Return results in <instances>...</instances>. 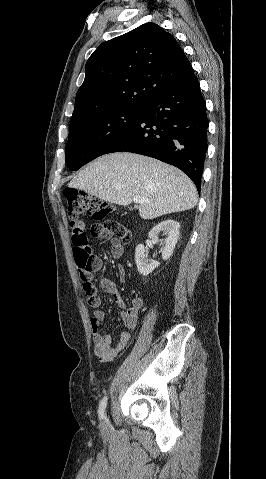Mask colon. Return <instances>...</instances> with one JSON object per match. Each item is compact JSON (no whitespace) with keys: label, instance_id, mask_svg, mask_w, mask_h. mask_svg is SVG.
<instances>
[{"label":"colon","instance_id":"1","mask_svg":"<svg viewBox=\"0 0 266 479\" xmlns=\"http://www.w3.org/2000/svg\"><path fill=\"white\" fill-rule=\"evenodd\" d=\"M65 207L70 218L71 242L77 271L82 281V288L90 305L97 302V288L90 278L92 256L88 238L83 231L82 216L88 214L95 223L91 233L101 240L126 242L130 239L128 230L119 222L106 219L112 213L113 206L100 198L79 191H64Z\"/></svg>","mask_w":266,"mask_h":479}]
</instances>
